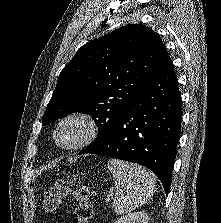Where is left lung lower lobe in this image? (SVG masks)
<instances>
[{
  "label": "left lung lower lobe",
  "mask_w": 221,
  "mask_h": 223,
  "mask_svg": "<svg viewBox=\"0 0 221 223\" xmlns=\"http://www.w3.org/2000/svg\"><path fill=\"white\" fill-rule=\"evenodd\" d=\"M182 115L178 81L168 55L158 75L125 110L113 130L80 154L146 166L157 175L168 194Z\"/></svg>",
  "instance_id": "1"
}]
</instances>
